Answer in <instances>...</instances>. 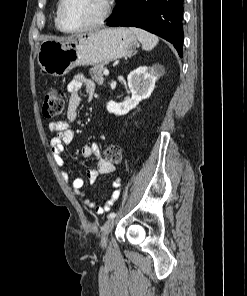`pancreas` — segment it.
<instances>
[{
	"instance_id": "obj_1",
	"label": "pancreas",
	"mask_w": 247,
	"mask_h": 296,
	"mask_svg": "<svg viewBox=\"0 0 247 296\" xmlns=\"http://www.w3.org/2000/svg\"><path fill=\"white\" fill-rule=\"evenodd\" d=\"M104 65H105V63H100L98 65H95L89 71L91 78L99 84H102L104 81V78H103V71L105 69Z\"/></svg>"
}]
</instances>
